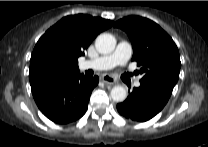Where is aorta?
I'll use <instances>...</instances> for the list:
<instances>
[{
    "instance_id": "aorta-1",
    "label": "aorta",
    "mask_w": 208,
    "mask_h": 147,
    "mask_svg": "<svg viewBox=\"0 0 208 147\" xmlns=\"http://www.w3.org/2000/svg\"><path fill=\"white\" fill-rule=\"evenodd\" d=\"M95 47L101 54H109L116 47V39L112 34L102 33L95 40ZM127 97V92L122 86H115L111 90V98L115 102H123Z\"/></svg>"
}]
</instances>
